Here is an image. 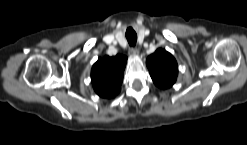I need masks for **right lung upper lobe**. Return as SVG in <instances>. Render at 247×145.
Instances as JSON below:
<instances>
[{"mask_svg":"<svg viewBox=\"0 0 247 145\" xmlns=\"http://www.w3.org/2000/svg\"><path fill=\"white\" fill-rule=\"evenodd\" d=\"M126 62V56L116 55L100 58L93 65L91 80L95 92L100 97L113 98L120 92Z\"/></svg>","mask_w":247,"mask_h":145,"instance_id":"right-lung-upper-lobe-1","label":"right lung upper lobe"}]
</instances>
